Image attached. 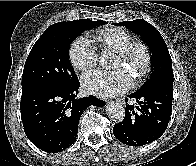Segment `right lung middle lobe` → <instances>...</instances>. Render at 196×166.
Listing matches in <instances>:
<instances>
[{"instance_id":"right-lung-middle-lobe-1","label":"right lung middle lobe","mask_w":196,"mask_h":166,"mask_svg":"<svg viewBox=\"0 0 196 166\" xmlns=\"http://www.w3.org/2000/svg\"><path fill=\"white\" fill-rule=\"evenodd\" d=\"M103 24L106 22L80 19L49 26L28 55L22 86L43 83L68 88L79 82L69 61L70 44L84 30Z\"/></svg>"}]
</instances>
